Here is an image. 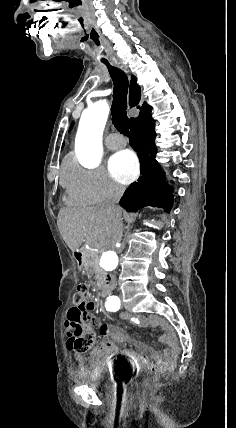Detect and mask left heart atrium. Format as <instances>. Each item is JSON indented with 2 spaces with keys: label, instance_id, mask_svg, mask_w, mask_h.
I'll list each match as a JSON object with an SVG mask.
<instances>
[{
  "label": "left heart atrium",
  "instance_id": "39dd6f15",
  "mask_svg": "<svg viewBox=\"0 0 236 428\" xmlns=\"http://www.w3.org/2000/svg\"><path fill=\"white\" fill-rule=\"evenodd\" d=\"M111 176L123 184L132 182L139 173L138 161L133 152L124 150L114 155L109 161Z\"/></svg>",
  "mask_w": 236,
  "mask_h": 428
}]
</instances>
